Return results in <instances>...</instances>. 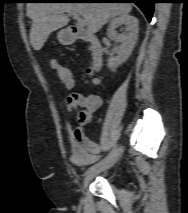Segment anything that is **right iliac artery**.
<instances>
[{
	"instance_id": "1",
	"label": "right iliac artery",
	"mask_w": 188,
	"mask_h": 213,
	"mask_svg": "<svg viewBox=\"0 0 188 213\" xmlns=\"http://www.w3.org/2000/svg\"><path fill=\"white\" fill-rule=\"evenodd\" d=\"M117 150V146H115L112 151L100 162L94 164L93 166L89 167L88 170L86 171V174L90 173L91 171L95 170L97 167H99L100 165L104 164L105 162H107L116 152Z\"/></svg>"
}]
</instances>
